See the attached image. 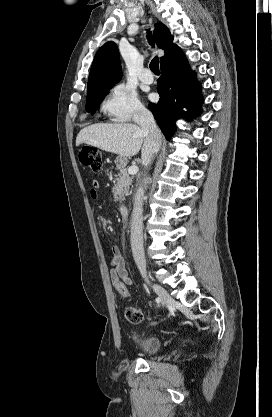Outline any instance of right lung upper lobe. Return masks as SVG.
<instances>
[{
	"instance_id": "right-lung-upper-lobe-1",
	"label": "right lung upper lobe",
	"mask_w": 272,
	"mask_h": 417,
	"mask_svg": "<svg viewBox=\"0 0 272 417\" xmlns=\"http://www.w3.org/2000/svg\"><path fill=\"white\" fill-rule=\"evenodd\" d=\"M156 44L165 51L160 63L179 47L173 44V36L168 28L157 23L153 34ZM122 77L119 51L114 42H107L100 47L95 55L89 74L87 93H92L99 89L111 88Z\"/></svg>"
}]
</instances>
